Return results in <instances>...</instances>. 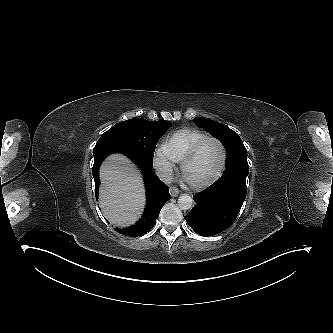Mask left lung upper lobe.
I'll return each instance as SVG.
<instances>
[{
    "label": "left lung upper lobe",
    "mask_w": 333,
    "mask_h": 333,
    "mask_svg": "<svg viewBox=\"0 0 333 333\" xmlns=\"http://www.w3.org/2000/svg\"><path fill=\"white\" fill-rule=\"evenodd\" d=\"M196 125L210 132L225 147L227 168L221 180L229 182H245L249 173L247 150L237 133L224 124L209 119H194Z\"/></svg>",
    "instance_id": "1"
}]
</instances>
